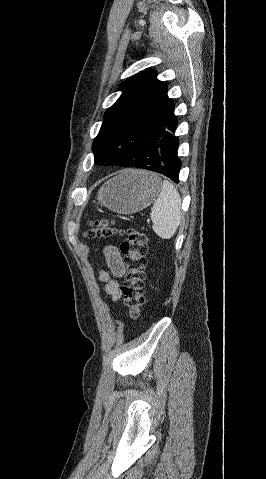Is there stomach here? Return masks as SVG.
I'll use <instances>...</instances> for the list:
<instances>
[{"label":"stomach","instance_id":"0dacf381","mask_svg":"<svg viewBox=\"0 0 266 479\" xmlns=\"http://www.w3.org/2000/svg\"><path fill=\"white\" fill-rule=\"evenodd\" d=\"M161 179L143 170H128L107 181L98 192L101 205L120 214H133L149 206L158 196Z\"/></svg>","mask_w":266,"mask_h":479}]
</instances>
